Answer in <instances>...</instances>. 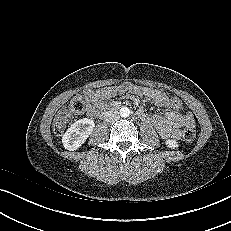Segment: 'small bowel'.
I'll use <instances>...</instances> for the list:
<instances>
[{"label": "small bowel", "mask_w": 231, "mask_h": 231, "mask_svg": "<svg viewBox=\"0 0 231 231\" xmlns=\"http://www.w3.org/2000/svg\"><path fill=\"white\" fill-rule=\"evenodd\" d=\"M134 92L144 99L151 101L157 107L170 109L165 114L149 115L143 107H140L137 114L143 121L151 123L164 139H179L183 127H194L195 120L190 112L182 113L170 105L168 95L160 90L123 83L107 87L101 90H86L85 96L88 102L87 113L95 116L104 107V100L125 92Z\"/></svg>", "instance_id": "small-bowel-1"}]
</instances>
